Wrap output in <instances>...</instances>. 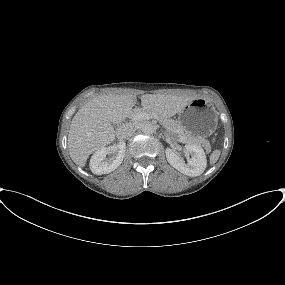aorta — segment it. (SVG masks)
Here are the masks:
<instances>
[{
    "instance_id": "obj_1",
    "label": "aorta",
    "mask_w": 285,
    "mask_h": 285,
    "mask_svg": "<svg viewBox=\"0 0 285 285\" xmlns=\"http://www.w3.org/2000/svg\"><path fill=\"white\" fill-rule=\"evenodd\" d=\"M141 130L145 134H152L154 132V126L151 123H145L142 125Z\"/></svg>"
}]
</instances>
